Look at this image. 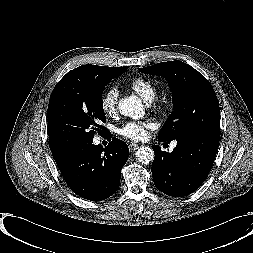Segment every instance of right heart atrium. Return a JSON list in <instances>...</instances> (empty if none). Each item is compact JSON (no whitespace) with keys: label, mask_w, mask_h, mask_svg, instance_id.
Returning a JSON list of instances; mask_svg holds the SVG:
<instances>
[{"label":"right heart atrium","mask_w":253,"mask_h":253,"mask_svg":"<svg viewBox=\"0 0 253 253\" xmlns=\"http://www.w3.org/2000/svg\"><path fill=\"white\" fill-rule=\"evenodd\" d=\"M119 92L115 88L108 89L101 97V107L109 115L117 111Z\"/></svg>","instance_id":"1"}]
</instances>
